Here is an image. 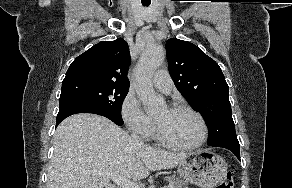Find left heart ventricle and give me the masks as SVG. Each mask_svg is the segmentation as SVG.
Wrapping results in <instances>:
<instances>
[{
	"label": "left heart ventricle",
	"instance_id": "1",
	"mask_svg": "<svg viewBox=\"0 0 292 188\" xmlns=\"http://www.w3.org/2000/svg\"><path fill=\"white\" fill-rule=\"evenodd\" d=\"M163 134L171 141L189 145L201 136V124L196 116L186 111H171L167 107L154 116Z\"/></svg>",
	"mask_w": 292,
	"mask_h": 188
}]
</instances>
